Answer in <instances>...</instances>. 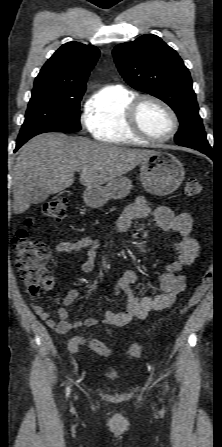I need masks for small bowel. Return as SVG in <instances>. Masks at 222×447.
Returning <instances> with one entry per match:
<instances>
[{"mask_svg":"<svg viewBox=\"0 0 222 447\" xmlns=\"http://www.w3.org/2000/svg\"><path fill=\"white\" fill-rule=\"evenodd\" d=\"M148 217H152L160 230L174 231L179 235V240L175 244L178 253L177 260L170 263L160 276L159 293L153 297H139L132 288L139 280L138 274L131 269L125 270L115 281L114 294L125 297L126 309L121 312L106 310L103 313L102 321L105 325L122 327L133 318H147L152 311L171 309L176 303L178 295L186 287L185 277L180 274L181 268L192 264L199 255V245L190 235L194 224L192 216L189 213L176 214L171 208L164 205H153L144 196H138L125 208L115 223V232L122 233L130 227L132 221ZM98 247L99 244L96 240L83 237L75 241H61L56 244L55 250L59 253H72L84 258L82 271L85 274H92L95 270ZM139 250L144 251L142 248ZM53 286L54 280L51 279L43 289L45 292H49ZM80 295L81 291L78 289L68 290L63 297V305L73 304ZM32 309L50 329L58 333H67L81 327H93L98 323L97 319L93 317L71 323L68 321L70 312L65 308L58 311L59 320L53 319L41 305L33 304ZM94 341L96 340L92 338L74 336L69 340L68 346L71 352L76 353L83 346L92 348Z\"/></svg>","mask_w":222,"mask_h":447,"instance_id":"1","label":"small bowel"}]
</instances>
